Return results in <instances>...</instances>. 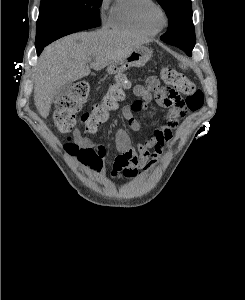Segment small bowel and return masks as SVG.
<instances>
[{"instance_id":"1","label":"small bowel","mask_w":245,"mask_h":300,"mask_svg":"<svg viewBox=\"0 0 245 300\" xmlns=\"http://www.w3.org/2000/svg\"><path fill=\"white\" fill-rule=\"evenodd\" d=\"M152 91L155 93L156 101L168 108L164 117V124L151 129L143 142L133 144L130 135L124 129H118L115 136L117 156L114 159L112 177L120 175L132 177L138 170L149 169L161 156L164 147L171 139L173 131L177 128L179 120L186 115L187 106L185 102L169 89L159 87L155 78H150L147 85H136L133 89L134 95L139 98L143 106L140 110L132 107V102L122 107V116L126 120L130 130L137 132L141 129V123L134 113L144 110L145 104L152 100ZM76 142L84 148H90L95 152L97 167L100 169L105 157V147L90 139L81 136L78 129L74 132Z\"/></svg>"}]
</instances>
